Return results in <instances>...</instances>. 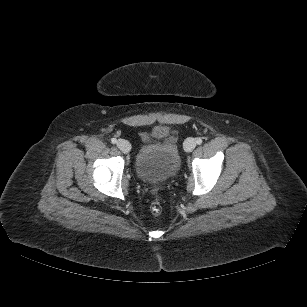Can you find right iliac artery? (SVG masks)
Instances as JSON below:
<instances>
[{
  "label": "right iliac artery",
  "instance_id": "1",
  "mask_svg": "<svg viewBox=\"0 0 307 307\" xmlns=\"http://www.w3.org/2000/svg\"><path fill=\"white\" fill-rule=\"evenodd\" d=\"M111 143H112V144H116V143H117V139H116V138H112V139H111Z\"/></svg>",
  "mask_w": 307,
  "mask_h": 307
}]
</instances>
